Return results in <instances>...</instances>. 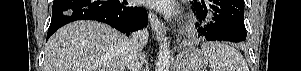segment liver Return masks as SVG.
Masks as SVG:
<instances>
[{
  "label": "liver",
  "instance_id": "6515ba94",
  "mask_svg": "<svg viewBox=\"0 0 301 71\" xmlns=\"http://www.w3.org/2000/svg\"><path fill=\"white\" fill-rule=\"evenodd\" d=\"M130 53L126 35L99 22L76 21L48 40L43 71H124Z\"/></svg>",
  "mask_w": 301,
  "mask_h": 71
}]
</instances>
